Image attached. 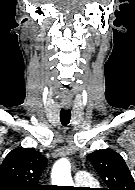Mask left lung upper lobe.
Segmentation results:
<instances>
[{"instance_id":"5c2ea615","label":"left lung upper lobe","mask_w":135,"mask_h":190,"mask_svg":"<svg viewBox=\"0 0 135 190\" xmlns=\"http://www.w3.org/2000/svg\"><path fill=\"white\" fill-rule=\"evenodd\" d=\"M87 159L107 184L105 190H135L131 172L119 153L111 149L96 150Z\"/></svg>"}]
</instances>
